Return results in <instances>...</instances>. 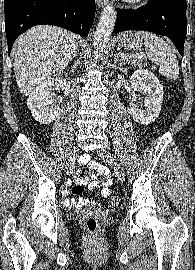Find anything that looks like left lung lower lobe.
Returning a JSON list of instances; mask_svg holds the SVG:
<instances>
[{
  "instance_id": "0a47b994",
  "label": "left lung lower lobe",
  "mask_w": 195,
  "mask_h": 270,
  "mask_svg": "<svg viewBox=\"0 0 195 270\" xmlns=\"http://www.w3.org/2000/svg\"><path fill=\"white\" fill-rule=\"evenodd\" d=\"M146 30L171 39L183 56L187 34L186 0H149L133 9H118L113 33Z\"/></svg>"
}]
</instances>
